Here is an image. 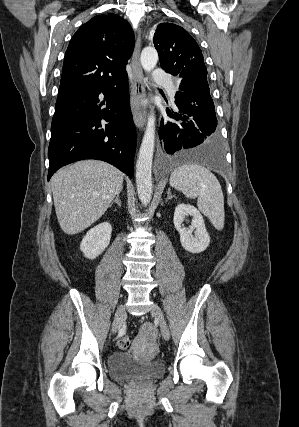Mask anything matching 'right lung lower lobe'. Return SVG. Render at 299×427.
<instances>
[{
    "instance_id": "1",
    "label": "right lung lower lobe",
    "mask_w": 299,
    "mask_h": 427,
    "mask_svg": "<svg viewBox=\"0 0 299 427\" xmlns=\"http://www.w3.org/2000/svg\"><path fill=\"white\" fill-rule=\"evenodd\" d=\"M135 148L126 73L113 82L56 102L48 180L62 166L82 159L106 161L132 178Z\"/></svg>"
}]
</instances>
